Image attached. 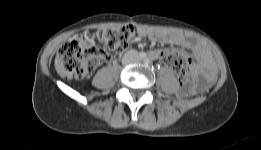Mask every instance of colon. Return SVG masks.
<instances>
[{
    "instance_id": "5ec220e1",
    "label": "colon",
    "mask_w": 261,
    "mask_h": 150,
    "mask_svg": "<svg viewBox=\"0 0 261 150\" xmlns=\"http://www.w3.org/2000/svg\"><path fill=\"white\" fill-rule=\"evenodd\" d=\"M136 36L137 31L132 25L98 30L89 37L76 35L59 48L55 58L56 71L68 79L89 78L101 60L111 52L120 54L126 51ZM89 39L102 41L104 48L95 47ZM162 62L172 68L182 81L189 78L191 60L185 54L168 50Z\"/></svg>"
}]
</instances>
